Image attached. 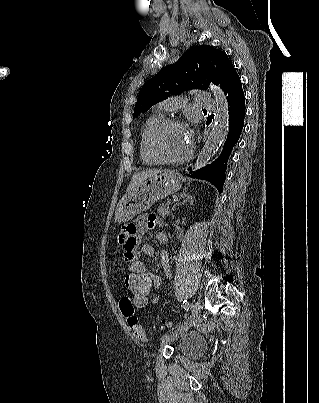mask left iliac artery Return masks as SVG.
Returning a JSON list of instances; mask_svg holds the SVG:
<instances>
[{"instance_id": "44dca946", "label": "left iliac artery", "mask_w": 319, "mask_h": 403, "mask_svg": "<svg viewBox=\"0 0 319 403\" xmlns=\"http://www.w3.org/2000/svg\"><path fill=\"white\" fill-rule=\"evenodd\" d=\"M183 306H184L186 311L189 310V303L187 302V300L183 301ZM186 325H187V322L183 325V327H185Z\"/></svg>"}]
</instances>
